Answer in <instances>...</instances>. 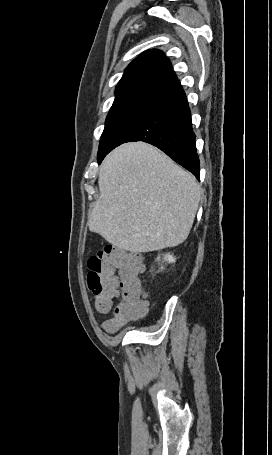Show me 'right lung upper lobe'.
Wrapping results in <instances>:
<instances>
[{
  "label": "right lung upper lobe",
  "mask_w": 272,
  "mask_h": 455,
  "mask_svg": "<svg viewBox=\"0 0 272 455\" xmlns=\"http://www.w3.org/2000/svg\"><path fill=\"white\" fill-rule=\"evenodd\" d=\"M184 94L170 61L162 51L147 50L126 68L115 90L114 102L149 99L164 104Z\"/></svg>",
  "instance_id": "obj_1"
}]
</instances>
